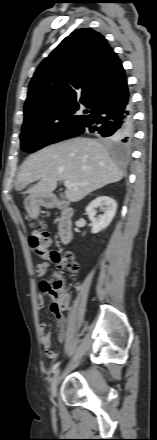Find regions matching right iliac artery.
<instances>
[{
    "instance_id": "82829eb1",
    "label": "right iliac artery",
    "mask_w": 157,
    "mask_h": 440,
    "mask_svg": "<svg viewBox=\"0 0 157 440\" xmlns=\"http://www.w3.org/2000/svg\"><path fill=\"white\" fill-rule=\"evenodd\" d=\"M60 363H61V362H57V363H55V364L52 366V372H54V371L58 368V366L60 365Z\"/></svg>"
}]
</instances>
